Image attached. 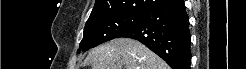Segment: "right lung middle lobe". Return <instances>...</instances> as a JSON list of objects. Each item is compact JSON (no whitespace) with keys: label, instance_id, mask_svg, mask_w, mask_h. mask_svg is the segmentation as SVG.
I'll return each mask as SVG.
<instances>
[{"label":"right lung middle lobe","instance_id":"dd1d6c3e","mask_svg":"<svg viewBox=\"0 0 246 69\" xmlns=\"http://www.w3.org/2000/svg\"><path fill=\"white\" fill-rule=\"evenodd\" d=\"M141 20L142 14H119L87 21L84 37L77 52L87 51L117 38L123 32L137 26Z\"/></svg>","mask_w":246,"mask_h":69}]
</instances>
